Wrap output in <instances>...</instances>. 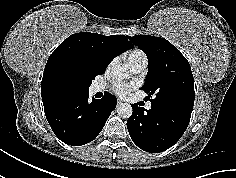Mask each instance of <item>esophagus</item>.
<instances>
[{
    "label": "esophagus",
    "instance_id": "obj_1",
    "mask_svg": "<svg viewBox=\"0 0 236 178\" xmlns=\"http://www.w3.org/2000/svg\"><path fill=\"white\" fill-rule=\"evenodd\" d=\"M122 104H123V101L120 100V99H118V100H117V106L122 105Z\"/></svg>",
    "mask_w": 236,
    "mask_h": 178
}]
</instances>
